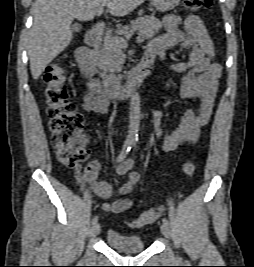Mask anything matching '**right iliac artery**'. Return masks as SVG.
Returning <instances> with one entry per match:
<instances>
[{"mask_svg": "<svg viewBox=\"0 0 254 267\" xmlns=\"http://www.w3.org/2000/svg\"><path fill=\"white\" fill-rule=\"evenodd\" d=\"M131 145H132L131 141H129V140L125 141L124 146H123L120 154L117 157V160H116L117 163L124 160V158L127 156L129 151L131 150ZM97 221H98V217L94 216L92 219V223L95 224Z\"/></svg>", "mask_w": 254, "mask_h": 267, "instance_id": "1", "label": "right iliac artery"}]
</instances>
